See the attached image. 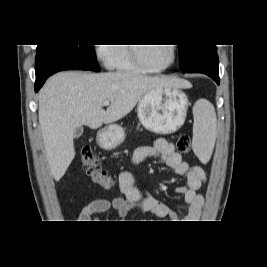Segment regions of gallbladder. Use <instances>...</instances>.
Masks as SVG:
<instances>
[{"instance_id": "1", "label": "gallbladder", "mask_w": 267, "mask_h": 267, "mask_svg": "<svg viewBox=\"0 0 267 267\" xmlns=\"http://www.w3.org/2000/svg\"><path fill=\"white\" fill-rule=\"evenodd\" d=\"M83 133V127L76 128L74 132V138H79Z\"/></svg>"}]
</instances>
